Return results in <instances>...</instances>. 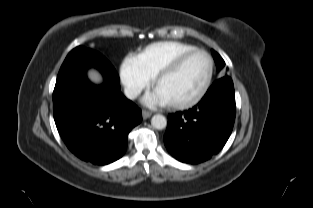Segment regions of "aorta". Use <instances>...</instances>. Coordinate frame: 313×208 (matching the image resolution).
<instances>
[{"mask_svg":"<svg viewBox=\"0 0 313 208\" xmlns=\"http://www.w3.org/2000/svg\"><path fill=\"white\" fill-rule=\"evenodd\" d=\"M151 124L155 129L162 130L167 126V120L165 116L156 114L152 117Z\"/></svg>","mask_w":313,"mask_h":208,"instance_id":"obj_1","label":"aorta"}]
</instances>
